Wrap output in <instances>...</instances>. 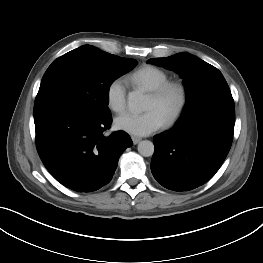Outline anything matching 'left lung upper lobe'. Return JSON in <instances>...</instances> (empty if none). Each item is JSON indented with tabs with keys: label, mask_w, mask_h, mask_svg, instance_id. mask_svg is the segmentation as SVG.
I'll return each mask as SVG.
<instances>
[{
	"label": "left lung upper lobe",
	"mask_w": 263,
	"mask_h": 263,
	"mask_svg": "<svg viewBox=\"0 0 263 263\" xmlns=\"http://www.w3.org/2000/svg\"><path fill=\"white\" fill-rule=\"evenodd\" d=\"M148 63L178 72L184 79L187 101L180 119H189L215 107H234L228 84L222 73L186 52L167 58H152Z\"/></svg>",
	"instance_id": "obj_1"
}]
</instances>
